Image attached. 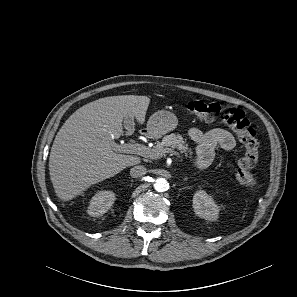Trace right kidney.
<instances>
[{
	"mask_svg": "<svg viewBox=\"0 0 297 297\" xmlns=\"http://www.w3.org/2000/svg\"><path fill=\"white\" fill-rule=\"evenodd\" d=\"M115 194L112 191H100L96 193L88 206V214L93 217L102 216L113 205Z\"/></svg>",
	"mask_w": 297,
	"mask_h": 297,
	"instance_id": "1",
	"label": "right kidney"
}]
</instances>
